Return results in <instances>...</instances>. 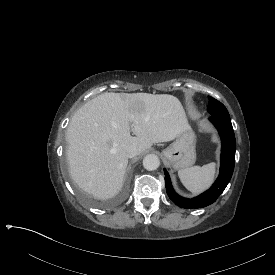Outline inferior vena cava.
<instances>
[{
  "mask_svg": "<svg viewBox=\"0 0 275 275\" xmlns=\"http://www.w3.org/2000/svg\"><path fill=\"white\" fill-rule=\"evenodd\" d=\"M124 152H125L126 157H128V158H133L139 154L137 147L133 144L127 145L124 148Z\"/></svg>",
  "mask_w": 275,
  "mask_h": 275,
  "instance_id": "obj_1",
  "label": "inferior vena cava"
}]
</instances>
